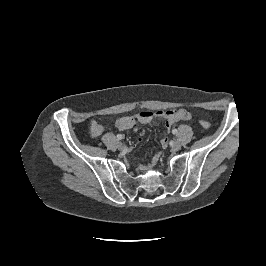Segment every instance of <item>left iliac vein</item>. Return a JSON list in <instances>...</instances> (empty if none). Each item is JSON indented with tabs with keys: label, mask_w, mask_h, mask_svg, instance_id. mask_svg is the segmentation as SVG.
I'll return each instance as SVG.
<instances>
[{
	"label": "left iliac vein",
	"mask_w": 266,
	"mask_h": 266,
	"mask_svg": "<svg viewBox=\"0 0 266 266\" xmlns=\"http://www.w3.org/2000/svg\"><path fill=\"white\" fill-rule=\"evenodd\" d=\"M172 148L175 150V151H178L180 148H181V143L178 141V140H175L172 144Z\"/></svg>",
	"instance_id": "left-iliac-vein-1"
}]
</instances>
